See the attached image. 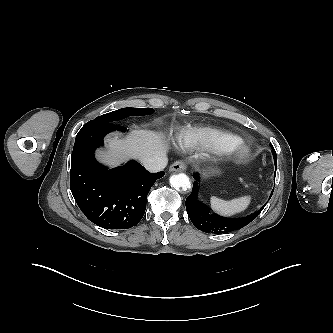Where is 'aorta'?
I'll use <instances>...</instances> for the list:
<instances>
[{
    "label": "aorta",
    "instance_id": "aorta-1",
    "mask_svg": "<svg viewBox=\"0 0 333 333\" xmlns=\"http://www.w3.org/2000/svg\"><path fill=\"white\" fill-rule=\"evenodd\" d=\"M170 184L176 190L181 189L183 191H186V190L190 189V187H191L189 177L184 173L173 175L170 178Z\"/></svg>",
    "mask_w": 333,
    "mask_h": 333
}]
</instances>
